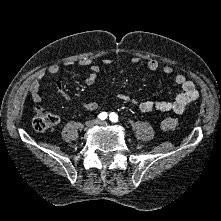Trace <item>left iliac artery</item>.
Listing matches in <instances>:
<instances>
[{"instance_id":"obj_1","label":"left iliac artery","mask_w":221,"mask_h":221,"mask_svg":"<svg viewBox=\"0 0 221 221\" xmlns=\"http://www.w3.org/2000/svg\"><path fill=\"white\" fill-rule=\"evenodd\" d=\"M110 120L112 122H117L118 121V115L116 113H111L110 114Z\"/></svg>"}]
</instances>
